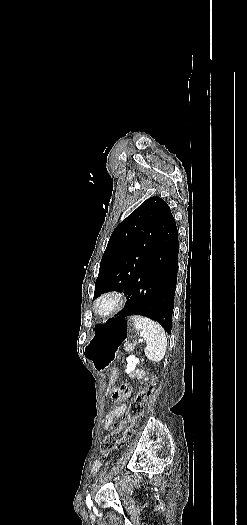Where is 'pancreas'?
Wrapping results in <instances>:
<instances>
[{
    "label": "pancreas",
    "instance_id": "obj_1",
    "mask_svg": "<svg viewBox=\"0 0 247 525\" xmlns=\"http://www.w3.org/2000/svg\"><path fill=\"white\" fill-rule=\"evenodd\" d=\"M134 347L135 345H131V343H125L124 348H122V351H132Z\"/></svg>",
    "mask_w": 247,
    "mask_h": 525
}]
</instances>
